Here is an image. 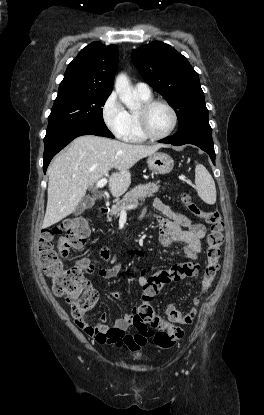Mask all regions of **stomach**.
Here are the masks:
<instances>
[{"mask_svg":"<svg viewBox=\"0 0 264 415\" xmlns=\"http://www.w3.org/2000/svg\"><path fill=\"white\" fill-rule=\"evenodd\" d=\"M149 169L155 174H168L173 170L174 160L167 153L156 152L147 159Z\"/></svg>","mask_w":264,"mask_h":415,"instance_id":"obj_1","label":"stomach"}]
</instances>
